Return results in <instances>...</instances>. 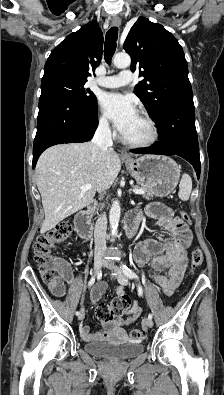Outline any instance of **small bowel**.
I'll list each match as a JSON object with an SVG mask.
<instances>
[{"mask_svg":"<svg viewBox=\"0 0 224 395\" xmlns=\"http://www.w3.org/2000/svg\"><path fill=\"white\" fill-rule=\"evenodd\" d=\"M145 214L158 220L159 224L166 230L173 233V239L166 242H160L155 239H147L139 242L134 251V257L137 264L145 267L150 264L155 271L151 278L156 282L166 295L172 292L180 284L187 263V247L190 244V233L186 224L176 218L172 210L164 205L153 203L150 204ZM73 281L72 270L68 267L67 275L64 281L58 283H48V289L57 297L65 293V282L70 284ZM105 284L99 283L93 290L91 298L97 303L103 291ZM117 293H124L123 287L117 288ZM141 308L137 301H133L126 312L125 317H119L109 322H104V330L100 334L106 337L109 332L121 330L124 325L134 321L140 314ZM81 335L86 340H92L96 337L87 325L80 327Z\"/></svg>","mask_w":224,"mask_h":395,"instance_id":"1","label":"small bowel"}]
</instances>
